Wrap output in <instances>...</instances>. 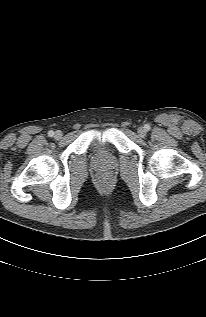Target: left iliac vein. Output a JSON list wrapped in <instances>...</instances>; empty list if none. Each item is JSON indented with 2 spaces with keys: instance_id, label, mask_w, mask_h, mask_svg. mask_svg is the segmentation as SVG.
Instances as JSON below:
<instances>
[{
  "instance_id": "1",
  "label": "left iliac vein",
  "mask_w": 206,
  "mask_h": 317,
  "mask_svg": "<svg viewBox=\"0 0 206 317\" xmlns=\"http://www.w3.org/2000/svg\"><path fill=\"white\" fill-rule=\"evenodd\" d=\"M146 132L147 131H146V129L144 127L138 128V134H139L140 137H145Z\"/></svg>"
}]
</instances>
